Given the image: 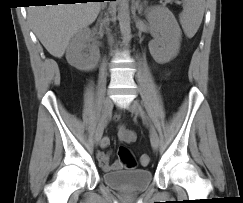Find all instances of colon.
<instances>
[{"instance_id": "colon-1", "label": "colon", "mask_w": 243, "mask_h": 203, "mask_svg": "<svg viewBox=\"0 0 243 203\" xmlns=\"http://www.w3.org/2000/svg\"><path fill=\"white\" fill-rule=\"evenodd\" d=\"M118 156L122 161L124 167L128 170L134 169L137 165L136 160L130 155L128 149L126 147H120L118 149ZM141 165H148L150 163V157L148 155H142L140 157Z\"/></svg>"}]
</instances>
